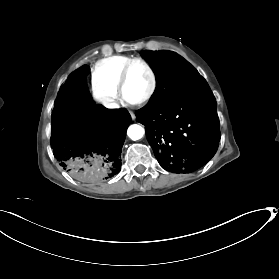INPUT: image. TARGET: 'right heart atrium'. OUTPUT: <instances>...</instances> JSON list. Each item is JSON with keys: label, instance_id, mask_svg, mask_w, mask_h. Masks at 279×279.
I'll list each match as a JSON object with an SVG mask.
<instances>
[{"label": "right heart atrium", "instance_id": "right-heart-atrium-1", "mask_svg": "<svg viewBox=\"0 0 279 279\" xmlns=\"http://www.w3.org/2000/svg\"><path fill=\"white\" fill-rule=\"evenodd\" d=\"M94 100L106 111H113L118 107L117 96L99 84L92 86Z\"/></svg>", "mask_w": 279, "mask_h": 279}]
</instances>
